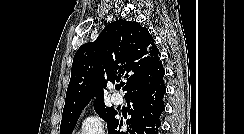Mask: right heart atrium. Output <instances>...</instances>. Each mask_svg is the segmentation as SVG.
<instances>
[{"label":"right heart atrium","instance_id":"d8ad5b80","mask_svg":"<svg viewBox=\"0 0 244 134\" xmlns=\"http://www.w3.org/2000/svg\"><path fill=\"white\" fill-rule=\"evenodd\" d=\"M106 124L98 114H90L83 118L77 134H106Z\"/></svg>","mask_w":244,"mask_h":134}]
</instances>
